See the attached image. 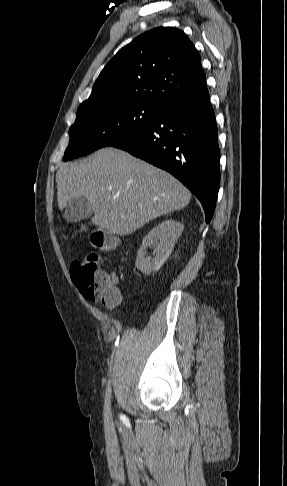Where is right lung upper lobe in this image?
<instances>
[{
	"label": "right lung upper lobe",
	"mask_w": 287,
	"mask_h": 486,
	"mask_svg": "<svg viewBox=\"0 0 287 486\" xmlns=\"http://www.w3.org/2000/svg\"><path fill=\"white\" fill-rule=\"evenodd\" d=\"M204 88L201 58L189 38L177 28L158 27L135 38L108 62L77 111L115 101L166 106Z\"/></svg>",
	"instance_id": "1"
}]
</instances>
